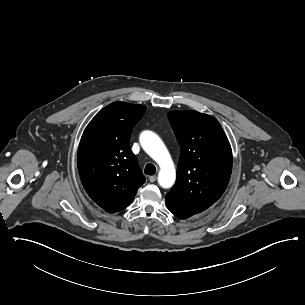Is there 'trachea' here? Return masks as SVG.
<instances>
[{
	"instance_id": "trachea-1",
	"label": "trachea",
	"mask_w": 305,
	"mask_h": 305,
	"mask_svg": "<svg viewBox=\"0 0 305 305\" xmlns=\"http://www.w3.org/2000/svg\"><path fill=\"white\" fill-rule=\"evenodd\" d=\"M156 173V167L154 164L148 163L145 166V174L146 175H154Z\"/></svg>"
}]
</instances>
